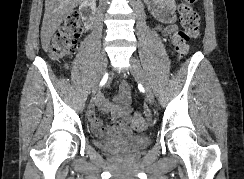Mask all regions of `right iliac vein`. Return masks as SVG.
Instances as JSON below:
<instances>
[{
  "label": "right iliac vein",
  "mask_w": 244,
  "mask_h": 179,
  "mask_svg": "<svg viewBox=\"0 0 244 179\" xmlns=\"http://www.w3.org/2000/svg\"><path fill=\"white\" fill-rule=\"evenodd\" d=\"M106 68H107V56L104 53H102L100 60L98 62V68L95 75L94 86H93L94 92L98 90V84L101 78L104 76Z\"/></svg>",
  "instance_id": "63e3f726"
}]
</instances>
